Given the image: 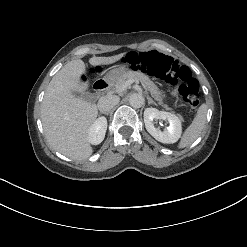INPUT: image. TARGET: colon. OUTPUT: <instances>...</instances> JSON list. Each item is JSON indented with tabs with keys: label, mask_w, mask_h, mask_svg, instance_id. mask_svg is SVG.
Masks as SVG:
<instances>
[{
	"label": "colon",
	"mask_w": 247,
	"mask_h": 247,
	"mask_svg": "<svg viewBox=\"0 0 247 247\" xmlns=\"http://www.w3.org/2000/svg\"><path fill=\"white\" fill-rule=\"evenodd\" d=\"M132 69H139L150 76L164 80L171 85L179 84V93L191 109L200 102L199 82L190 69L157 51L130 52L123 59Z\"/></svg>",
	"instance_id": "obj_1"
}]
</instances>
